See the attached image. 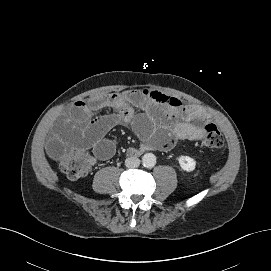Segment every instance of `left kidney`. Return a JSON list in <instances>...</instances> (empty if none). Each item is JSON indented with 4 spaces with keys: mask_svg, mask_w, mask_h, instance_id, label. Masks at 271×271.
<instances>
[{
    "mask_svg": "<svg viewBox=\"0 0 271 271\" xmlns=\"http://www.w3.org/2000/svg\"><path fill=\"white\" fill-rule=\"evenodd\" d=\"M178 162L182 170L186 172H192L194 171L196 167V161L194 158L189 157V156H179L178 157Z\"/></svg>",
    "mask_w": 271,
    "mask_h": 271,
    "instance_id": "1",
    "label": "left kidney"
}]
</instances>
